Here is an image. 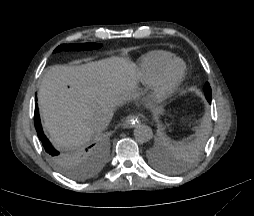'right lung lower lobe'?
I'll list each match as a JSON object with an SVG mask.
<instances>
[{
    "label": "right lung lower lobe",
    "instance_id": "1",
    "mask_svg": "<svg viewBox=\"0 0 254 216\" xmlns=\"http://www.w3.org/2000/svg\"><path fill=\"white\" fill-rule=\"evenodd\" d=\"M34 124H35V128L36 131L38 133V137L41 140L45 151L48 153L49 156L52 157H59L62 156L60 155V153L51 145V143L49 142V140L46 138V136L43 133L42 130V126H41V122H40V117H39V111H38V106L36 104V108H35V117H34Z\"/></svg>",
    "mask_w": 254,
    "mask_h": 216
}]
</instances>
